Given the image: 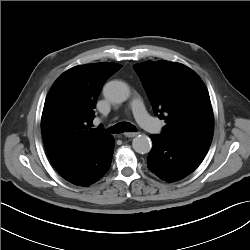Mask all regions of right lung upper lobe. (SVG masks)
<instances>
[{
	"mask_svg": "<svg viewBox=\"0 0 250 250\" xmlns=\"http://www.w3.org/2000/svg\"><path fill=\"white\" fill-rule=\"evenodd\" d=\"M121 67L116 63L79 65L64 72L53 84L44 104L41 129L56 170L92 152L111 136L90 127L104 83Z\"/></svg>",
	"mask_w": 250,
	"mask_h": 250,
	"instance_id": "right-lung-upper-lobe-1",
	"label": "right lung upper lobe"
}]
</instances>
